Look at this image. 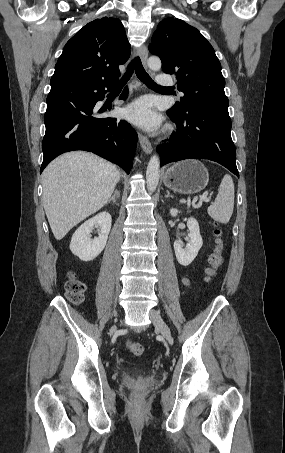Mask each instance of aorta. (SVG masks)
<instances>
[{"label":"aorta","instance_id":"1","mask_svg":"<svg viewBox=\"0 0 285 453\" xmlns=\"http://www.w3.org/2000/svg\"><path fill=\"white\" fill-rule=\"evenodd\" d=\"M148 67L154 71L161 69V60L158 57H150L147 61ZM160 160L157 155H153L147 165L146 183L150 192H154L159 182Z\"/></svg>","mask_w":285,"mask_h":453}]
</instances>
